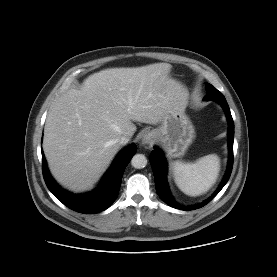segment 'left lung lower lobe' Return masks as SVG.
<instances>
[{
  "label": "left lung lower lobe",
  "instance_id": "obj_1",
  "mask_svg": "<svg viewBox=\"0 0 277 277\" xmlns=\"http://www.w3.org/2000/svg\"><path fill=\"white\" fill-rule=\"evenodd\" d=\"M222 108L225 110V114L227 117V120L229 122V130H228V135H229V160H228V169L226 172V175L224 176L219 188L215 191V193L206 201L194 205V206H189V207H184L175 202L173 199L168 183L166 180V174H167V163L164 158V154L160 149L153 150L150 154V163L153 169V174H154V179H155V185H156V191L159 195V197L169 206L174 207L176 209L180 210H194L203 207L207 203H209L220 191L221 189L225 186V184L228 182L231 172H232V167H233V141H234V122L233 118L231 116V112L229 109V106L227 104L226 99L225 100H219L217 101Z\"/></svg>",
  "mask_w": 277,
  "mask_h": 277
}]
</instances>
